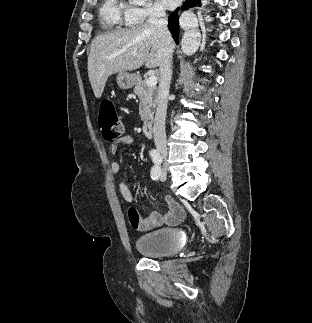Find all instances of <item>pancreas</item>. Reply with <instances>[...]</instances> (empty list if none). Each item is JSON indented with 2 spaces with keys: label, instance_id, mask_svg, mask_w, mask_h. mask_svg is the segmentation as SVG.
<instances>
[{
  "label": "pancreas",
  "instance_id": "obj_1",
  "mask_svg": "<svg viewBox=\"0 0 312 323\" xmlns=\"http://www.w3.org/2000/svg\"><path fill=\"white\" fill-rule=\"evenodd\" d=\"M134 94L140 100L139 116H141V120H144V122L151 120L157 104L155 86H147V80H142V82H137L134 88Z\"/></svg>",
  "mask_w": 312,
  "mask_h": 323
}]
</instances>
